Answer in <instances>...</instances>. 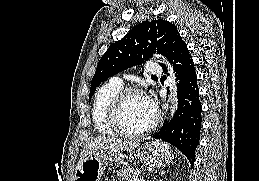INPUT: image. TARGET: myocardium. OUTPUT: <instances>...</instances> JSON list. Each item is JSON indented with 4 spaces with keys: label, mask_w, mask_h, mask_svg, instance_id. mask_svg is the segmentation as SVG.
I'll use <instances>...</instances> for the list:
<instances>
[{
    "label": "myocardium",
    "mask_w": 259,
    "mask_h": 181,
    "mask_svg": "<svg viewBox=\"0 0 259 181\" xmlns=\"http://www.w3.org/2000/svg\"><path fill=\"white\" fill-rule=\"evenodd\" d=\"M133 96H141L147 98L144 91L137 87L122 88L117 95L114 97L110 107V119L115 129L124 136L127 137H140L150 133L157 126L160 114L158 111L155 112L154 119L152 122L143 129L130 130L127 129L122 123V110L126 101Z\"/></svg>",
    "instance_id": "obj_1"
}]
</instances>
